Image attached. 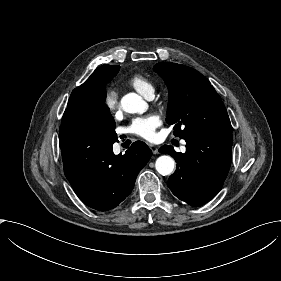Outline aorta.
<instances>
[{
  "label": "aorta",
  "instance_id": "762f6f07",
  "mask_svg": "<svg viewBox=\"0 0 281 281\" xmlns=\"http://www.w3.org/2000/svg\"><path fill=\"white\" fill-rule=\"evenodd\" d=\"M121 107L127 113L142 114L147 110V103L136 93H128L121 99ZM155 168L163 176L170 175L174 171L175 161L168 155L157 158Z\"/></svg>",
  "mask_w": 281,
  "mask_h": 281
}]
</instances>
